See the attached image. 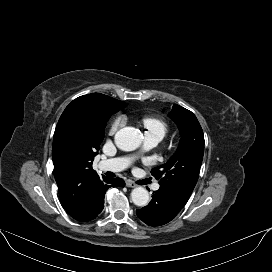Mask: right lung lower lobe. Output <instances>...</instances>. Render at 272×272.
Returning <instances> with one entry per match:
<instances>
[{"mask_svg": "<svg viewBox=\"0 0 272 272\" xmlns=\"http://www.w3.org/2000/svg\"><path fill=\"white\" fill-rule=\"evenodd\" d=\"M125 182L121 178H106L104 181L101 182L97 189V198L95 199L92 207L81 217L77 218L78 221H84L87 222L89 220H93L98 216V214L101 212V210L104 207V195L105 192L110 187H124Z\"/></svg>", "mask_w": 272, "mask_h": 272, "instance_id": "98d812e1", "label": "right lung lower lobe"}]
</instances>
